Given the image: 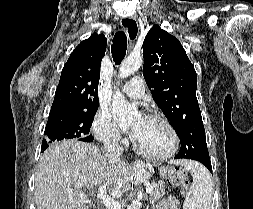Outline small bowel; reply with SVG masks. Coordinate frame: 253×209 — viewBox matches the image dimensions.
<instances>
[{
    "label": "small bowel",
    "mask_w": 253,
    "mask_h": 209,
    "mask_svg": "<svg viewBox=\"0 0 253 209\" xmlns=\"http://www.w3.org/2000/svg\"><path fill=\"white\" fill-rule=\"evenodd\" d=\"M178 201L175 197L170 196L166 200L160 202L155 209H177Z\"/></svg>",
    "instance_id": "obj_1"
}]
</instances>
